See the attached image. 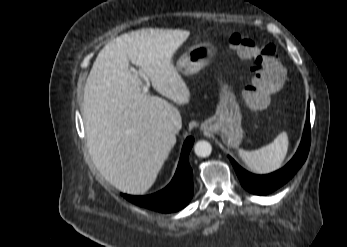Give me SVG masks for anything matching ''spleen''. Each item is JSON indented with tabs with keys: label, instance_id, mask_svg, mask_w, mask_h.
<instances>
[{
	"label": "spleen",
	"instance_id": "1",
	"mask_svg": "<svg viewBox=\"0 0 347 247\" xmlns=\"http://www.w3.org/2000/svg\"><path fill=\"white\" fill-rule=\"evenodd\" d=\"M288 149V133L283 131L269 145L258 150L240 151V157L250 171L256 174H268L281 167Z\"/></svg>",
	"mask_w": 347,
	"mask_h": 247
}]
</instances>
